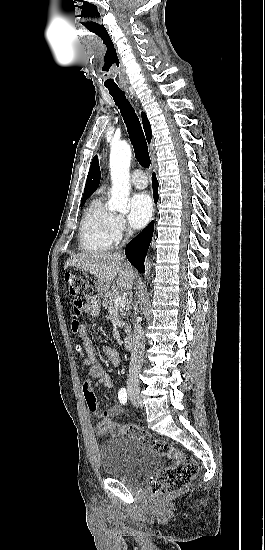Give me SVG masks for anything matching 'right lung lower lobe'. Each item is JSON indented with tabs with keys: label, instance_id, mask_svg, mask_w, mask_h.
<instances>
[{
	"label": "right lung lower lobe",
	"instance_id": "obj_1",
	"mask_svg": "<svg viewBox=\"0 0 265 550\" xmlns=\"http://www.w3.org/2000/svg\"><path fill=\"white\" fill-rule=\"evenodd\" d=\"M153 196L155 202L158 200V181L155 174H152ZM154 231V221L140 234L132 239L125 248V254L131 264L141 273H144V260L147 249L150 245Z\"/></svg>",
	"mask_w": 265,
	"mask_h": 550
}]
</instances>
